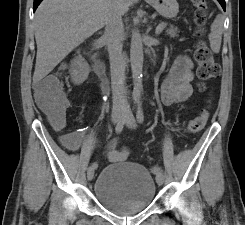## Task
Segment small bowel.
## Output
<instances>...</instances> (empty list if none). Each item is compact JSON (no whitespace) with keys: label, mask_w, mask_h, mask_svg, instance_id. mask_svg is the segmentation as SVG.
I'll return each mask as SVG.
<instances>
[{"label":"small bowel","mask_w":245,"mask_h":225,"mask_svg":"<svg viewBox=\"0 0 245 225\" xmlns=\"http://www.w3.org/2000/svg\"><path fill=\"white\" fill-rule=\"evenodd\" d=\"M48 78H51V76ZM193 79L191 59L186 55L179 56L161 86L160 95L162 103L165 106H169L188 99L193 93ZM40 85L41 83H38L37 87ZM66 136L70 139L67 146L71 151L89 147L93 143L90 137L78 130H72ZM116 144L117 141L113 140L107 153V159L111 163L126 160L129 156L128 151L116 148Z\"/></svg>","instance_id":"c3829d8e"}]
</instances>
